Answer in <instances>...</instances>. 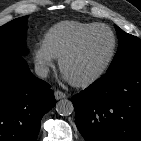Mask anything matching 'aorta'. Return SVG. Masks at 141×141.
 <instances>
[{
  "instance_id": "762f6f07",
  "label": "aorta",
  "mask_w": 141,
  "mask_h": 141,
  "mask_svg": "<svg viewBox=\"0 0 141 141\" xmlns=\"http://www.w3.org/2000/svg\"><path fill=\"white\" fill-rule=\"evenodd\" d=\"M56 111L61 116H68L74 112L73 103L68 99H62L56 104Z\"/></svg>"
}]
</instances>
